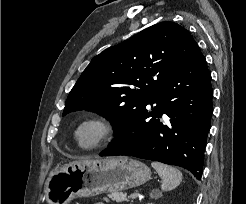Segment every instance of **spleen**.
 Masks as SVG:
<instances>
[{"label": "spleen", "instance_id": "spleen-1", "mask_svg": "<svg viewBox=\"0 0 246 204\" xmlns=\"http://www.w3.org/2000/svg\"><path fill=\"white\" fill-rule=\"evenodd\" d=\"M151 166L162 179L161 189L169 191L176 188L182 181V173L175 167L160 162H152Z\"/></svg>", "mask_w": 246, "mask_h": 204}]
</instances>
